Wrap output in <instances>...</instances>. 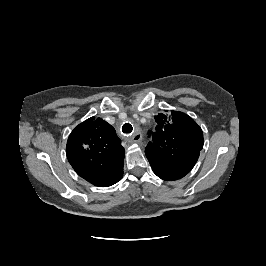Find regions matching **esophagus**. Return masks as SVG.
<instances>
[{"mask_svg": "<svg viewBox=\"0 0 266 266\" xmlns=\"http://www.w3.org/2000/svg\"><path fill=\"white\" fill-rule=\"evenodd\" d=\"M131 139L133 142L139 143L142 140V134L140 132H136Z\"/></svg>", "mask_w": 266, "mask_h": 266, "instance_id": "obj_1", "label": "esophagus"}]
</instances>
